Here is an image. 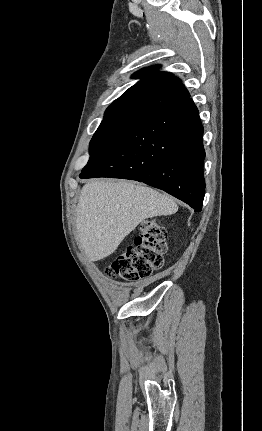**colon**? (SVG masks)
Masks as SVG:
<instances>
[{"label": "colon", "instance_id": "obj_1", "mask_svg": "<svg viewBox=\"0 0 262 431\" xmlns=\"http://www.w3.org/2000/svg\"><path fill=\"white\" fill-rule=\"evenodd\" d=\"M165 228L156 220L144 223L134 243L119 253L107 268L113 278L127 282L145 279L164 264Z\"/></svg>", "mask_w": 262, "mask_h": 431}]
</instances>
